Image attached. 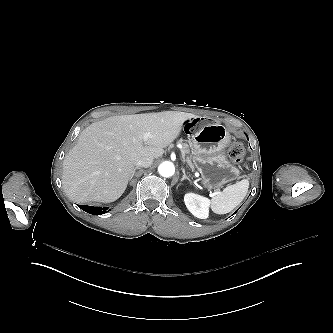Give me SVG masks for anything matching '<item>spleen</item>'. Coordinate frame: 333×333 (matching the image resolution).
<instances>
[{"instance_id": "obj_1", "label": "spleen", "mask_w": 333, "mask_h": 333, "mask_svg": "<svg viewBox=\"0 0 333 333\" xmlns=\"http://www.w3.org/2000/svg\"><path fill=\"white\" fill-rule=\"evenodd\" d=\"M249 181L243 179L228 185L211 200V209L216 214H226L235 209L246 197Z\"/></svg>"}]
</instances>
